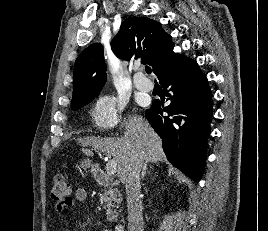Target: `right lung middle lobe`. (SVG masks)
Segmentation results:
<instances>
[{
	"mask_svg": "<svg viewBox=\"0 0 268 231\" xmlns=\"http://www.w3.org/2000/svg\"><path fill=\"white\" fill-rule=\"evenodd\" d=\"M92 100L93 99H89V100H85V101H81V102H78L76 104H73V105H71V109L72 110H77V109L81 108L82 106L90 103Z\"/></svg>",
	"mask_w": 268,
	"mask_h": 231,
	"instance_id": "obj_1",
	"label": "right lung middle lobe"
}]
</instances>
